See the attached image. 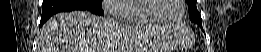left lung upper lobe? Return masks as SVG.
<instances>
[{"instance_id": "5c2ea615", "label": "left lung upper lobe", "mask_w": 261, "mask_h": 52, "mask_svg": "<svg viewBox=\"0 0 261 52\" xmlns=\"http://www.w3.org/2000/svg\"><path fill=\"white\" fill-rule=\"evenodd\" d=\"M189 6V18L192 22L202 27V18L196 7V0H186Z\"/></svg>"}]
</instances>
